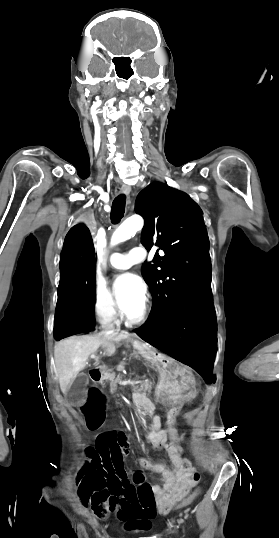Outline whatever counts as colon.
Segmentation results:
<instances>
[{
    "label": "colon",
    "mask_w": 279,
    "mask_h": 538,
    "mask_svg": "<svg viewBox=\"0 0 279 538\" xmlns=\"http://www.w3.org/2000/svg\"><path fill=\"white\" fill-rule=\"evenodd\" d=\"M129 451V441L121 431L102 433L93 446L86 449L91 458V466L85 471L81 482V498L90 501L93 512L100 518L116 506L120 514L132 518L152 517L156 513V493L154 486L146 482L143 473H135L131 478L123 467V457ZM180 473L185 480L197 482L199 473L194 459L180 454ZM194 491L179 505H188L196 496ZM168 506L160 511L172 508Z\"/></svg>",
    "instance_id": "colon-1"
}]
</instances>
